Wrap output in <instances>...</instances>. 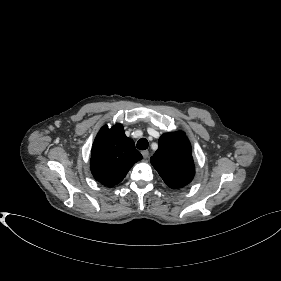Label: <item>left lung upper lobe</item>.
Instances as JSON below:
<instances>
[{
  "label": "left lung upper lobe",
  "instance_id": "1",
  "mask_svg": "<svg viewBox=\"0 0 281 281\" xmlns=\"http://www.w3.org/2000/svg\"><path fill=\"white\" fill-rule=\"evenodd\" d=\"M150 162L172 189L182 188L193 180L195 166L191 144L182 131L163 134Z\"/></svg>",
  "mask_w": 281,
  "mask_h": 281
}]
</instances>
